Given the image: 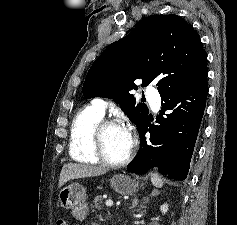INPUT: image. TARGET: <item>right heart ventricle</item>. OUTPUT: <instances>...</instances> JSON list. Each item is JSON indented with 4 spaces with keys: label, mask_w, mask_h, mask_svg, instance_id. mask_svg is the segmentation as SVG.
I'll use <instances>...</instances> for the list:
<instances>
[{
    "label": "right heart ventricle",
    "mask_w": 237,
    "mask_h": 225,
    "mask_svg": "<svg viewBox=\"0 0 237 225\" xmlns=\"http://www.w3.org/2000/svg\"><path fill=\"white\" fill-rule=\"evenodd\" d=\"M104 114L95 104L83 107L74 117L70 129L69 153L72 159L85 164H96L98 159L92 147L93 127Z\"/></svg>",
    "instance_id": "e07e8e85"
}]
</instances>
